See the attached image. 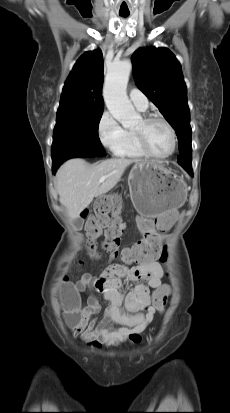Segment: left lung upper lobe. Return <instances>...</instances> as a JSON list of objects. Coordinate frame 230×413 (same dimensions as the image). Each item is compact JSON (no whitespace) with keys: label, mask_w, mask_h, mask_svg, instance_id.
Returning <instances> with one entry per match:
<instances>
[{"label":"left lung upper lobe","mask_w":230,"mask_h":413,"mask_svg":"<svg viewBox=\"0 0 230 413\" xmlns=\"http://www.w3.org/2000/svg\"><path fill=\"white\" fill-rule=\"evenodd\" d=\"M138 88L158 107L178 136V164L192 167V130L181 65L167 48H140L132 55Z\"/></svg>","instance_id":"1"}]
</instances>
